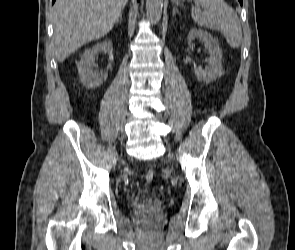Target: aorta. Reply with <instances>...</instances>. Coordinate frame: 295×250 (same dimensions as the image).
Segmentation results:
<instances>
[{
    "label": "aorta",
    "mask_w": 295,
    "mask_h": 250,
    "mask_svg": "<svg viewBox=\"0 0 295 250\" xmlns=\"http://www.w3.org/2000/svg\"><path fill=\"white\" fill-rule=\"evenodd\" d=\"M163 0H146L147 17L159 21L162 15Z\"/></svg>",
    "instance_id": "aorta-1"
}]
</instances>
